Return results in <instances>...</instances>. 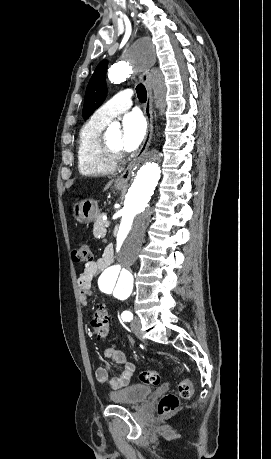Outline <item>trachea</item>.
<instances>
[{
  "mask_svg": "<svg viewBox=\"0 0 271 459\" xmlns=\"http://www.w3.org/2000/svg\"><path fill=\"white\" fill-rule=\"evenodd\" d=\"M136 92L140 102H146L147 100V90L141 83L136 86Z\"/></svg>",
  "mask_w": 271,
  "mask_h": 459,
  "instance_id": "1",
  "label": "trachea"
}]
</instances>
